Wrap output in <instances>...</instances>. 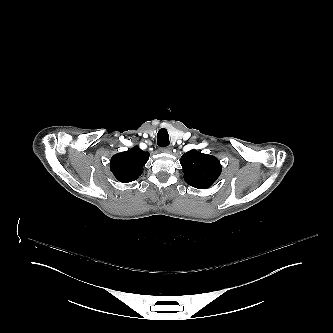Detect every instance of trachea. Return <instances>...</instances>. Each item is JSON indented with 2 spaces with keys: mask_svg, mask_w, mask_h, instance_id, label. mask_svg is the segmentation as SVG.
<instances>
[{
  "mask_svg": "<svg viewBox=\"0 0 333 333\" xmlns=\"http://www.w3.org/2000/svg\"><path fill=\"white\" fill-rule=\"evenodd\" d=\"M157 143L161 147H167L170 144L167 129L161 128L157 134Z\"/></svg>",
  "mask_w": 333,
  "mask_h": 333,
  "instance_id": "1",
  "label": "trachea"
}]
</instances>
